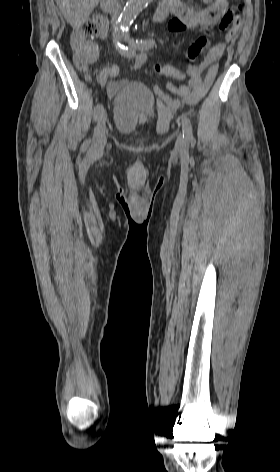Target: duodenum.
Segmentation results:
<instances>
[{
	"label": "duodenum",
	"mask_w": 280,
	"mask_h": 472,
	"mask_svg": "<svg viewBox=\"0 0 280 472\" xmlns=\"http://www.w3.org/2000/svg\"><path fill=\"white\" fill-rule=\"evenodd\" d=\"M115 3H116V0H102L101 7L106 13H112L114 10ZM168 14H169L168 8L161 4L153 15V21L161 22L166 19Z\"/></svg>",
	"instance_id": "obj_1"
}]
</instances>
